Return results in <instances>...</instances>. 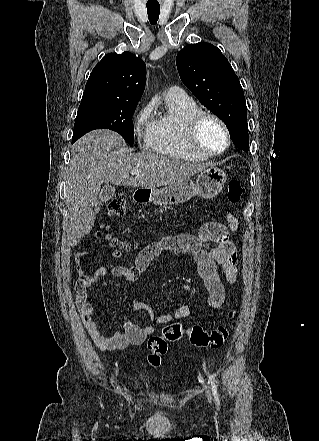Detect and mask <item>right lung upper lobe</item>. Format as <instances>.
Instances as JSON below:
<instances>
[{"label": "right lung upper lobe", "instance_id": "right-lung-upper-lobe-1", "mask_svg": "<svg viewBox=\"0 0 319 441\" xmlns=\"http://www.w3.org/2000/svg\"><path fill=\"white\" fill-rule=\"evenodd\" d=\"M146 83V65L134 54L110 53L94 67L82 101H114L137 104Z\"/></svg>", "mask_w": 319, "mask_h": 441}]
</instances>
